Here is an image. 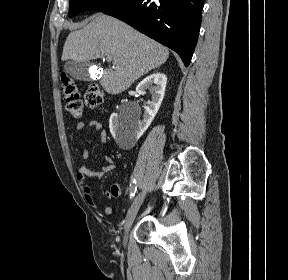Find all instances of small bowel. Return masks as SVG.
<instances>
[{
    "instance_id": "1",
    "label": "small bowel",
    "mask_w": 288,
    "mask_h": 280,
    "mask_svg": "<svg viewBox=\"0 0 288 280\" xmlns=\"http://www.w3.org/2000/svg\"><path fill=\"white\" fill-rule=\"evenodd\" d=\"M89 127L100 133L101 142L106 144L107 142V132L103 128V124L98 120H91L89 122ZM85 127L84 122H78L76 125V130L80 133ZM80 155L83 160L89 158V152L86 149L80 150ZM105 165L99 167L97 170H92L86 166H81L77 173V181L79 183L80 189L84 195L85 200L89 205L95 207L102 211L104 214H111L113 209L110 205L99 206L91 186L88 184V178L102 179L107 173L111 172L115 168L114 160L111 156H104ZM122 194V190L118 184H113L110 189L105 192V196L108 199L119 197Z\"/></svg>"
}]
</instances>
